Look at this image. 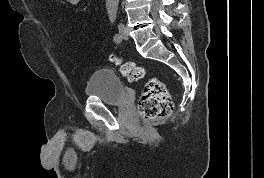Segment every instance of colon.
Here are the masks:
<instances>
[{
    "label": "colon",
    "instance_id": "obj_1",
    "mask_svg": "<svg viewBox=\"0 0 264 178\" xmlns=\"http://www.w3.org/2000/svg\"><path fill=\"white\" fill-rule=\"evenodd\" d=\"M110 61L119 66L120 73L129 81L144 77L145 70L134 62L111 55ZM173 102L165 84L158 78H150L138 102L139 114L146 120L165 119L172 113Z\"/></svg>",
    "mask_w": 264,
    "mask_h": 178
}]
</instances>
